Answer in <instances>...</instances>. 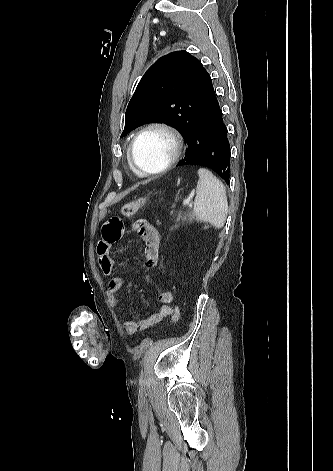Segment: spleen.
<instances>
[{"label": "spleen", "instance_id": "1", "mask_svg": "<svg viewBox=\"0 0 333 471\" xmlns=\"http://www.w3.org/2000/svg\"><path fill=\"white\" fill-rule=\"evenodd\" d=\"M198 175L194 214L198 220L222 228L228 213L225 187L208 169L199 168Z\"/></svg>", "mask_w": 333, "mask_h": 471}]
</instances>
